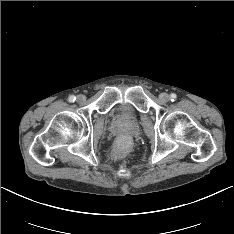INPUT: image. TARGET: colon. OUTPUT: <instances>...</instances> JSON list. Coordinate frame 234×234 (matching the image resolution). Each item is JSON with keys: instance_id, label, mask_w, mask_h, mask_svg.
<instances>
[{"instance_id": "obj_1", "label": "colon", "mask_w": 234, "mask_h": 234, "mask_svg": "<svg viewBox=\"0 0 234 234\" xmlns=\"http://www.w3.org/2000/svg\"><path fill=\"white\" fill-rule=\"evenodd\" d=\"M128 144H129V142H128V139L127 138H121L120 140H119V142H118V149H119V151H124V150H126L127 149V147H128Z\"/></svg>"}]
</instances>
